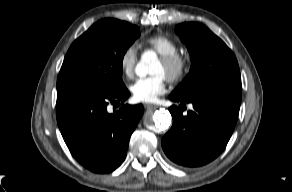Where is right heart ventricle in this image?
<instances>
[{
  "instance_id": "1",
  "label": "right heart ventricle",
  "mask_w": 292,
  "mask_h": 192,
  "mask_svg": "<svg viewBox=\"0 0 292 192\" xmlns=\"http://www.w3.org/2000/svg\"><path fill=\"white\" fill-rule=\"evenodd\" d=\"M149 48L156 51L160 56H169L178 53V44L166 35H153L146 39Z\"/></svg>"
}]
</instances>
